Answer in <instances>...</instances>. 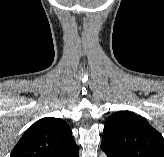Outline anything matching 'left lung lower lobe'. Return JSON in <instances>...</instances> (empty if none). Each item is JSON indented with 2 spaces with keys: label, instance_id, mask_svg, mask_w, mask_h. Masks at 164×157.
Masks as SVG:
<instances>
[{
  "label": "left lung lower lobe",
  "instance_id": "obj_1",
  "mask_svg": "<svg viewBox=\"0 0 164 157\" xmlns=\"http://www.w3.org/2000/svg\"><path fill=\"white\" fill-rule=\"evenodd\" d=\"M101 148L106 153V157H120L117 152H115L111 147L104 143H101Z\"/></svg>",
  "mask_w": 164,
  "mask_h": 157
}]
</instances>
